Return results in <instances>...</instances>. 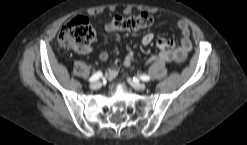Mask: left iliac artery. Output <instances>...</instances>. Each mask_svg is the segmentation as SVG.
<instances>
[{"label": "left iliac artery", "mask_w": 247, "mask_h": 145, "mask_svg": "<svg viewBox=\"0 0 247 145\" xmlns=\"http://www.w3.org/2000/svg\"><path fill=\"white\" fill-rule=\"evenodd\" d=\"M140 79L143 81H150V77L148 75H145V74L141 75Z\"/></svg>", "instance_id": "1"}]
</instances>
